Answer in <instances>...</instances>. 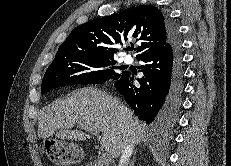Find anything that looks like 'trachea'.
Returning a JSON list of instances; mask_svg holds the SVG:
<instances>
[{"instance_id":"3493384b","label":"trachea","mask_w":231,"mask_h":166,"mask_svg":"<svg viewBox=\"0 0 231 166\" xmlns=\"http://www.w3.org/2000/svg\"><path fill=\"white\" fill-rule=\"evenodd\" d=\"M134 48L132 47V48H129V50H133Z\"/></svg>"}]
</instances>
